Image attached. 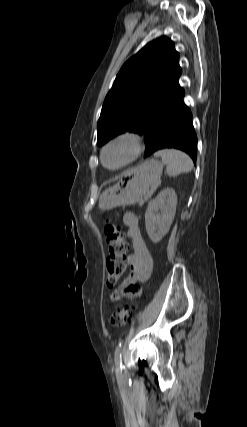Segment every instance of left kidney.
<instances>
[{"mask_svg": "<svg viewBox=\"0 0 247 427\" xmlns=\"http://www.w3.org/2000/svg\"><path fill=\"white\" fill-rule=\"evenodd\" d=\"M177 206V195L174 189L162 190L155 199L148 203L145 212L146 231L153 243H159L169 232Z\"/></svg>", "mask_w": 247, "mask_h": 427, "instance_id": "5707ae66", "label": "left kidney"}]
</instances>
